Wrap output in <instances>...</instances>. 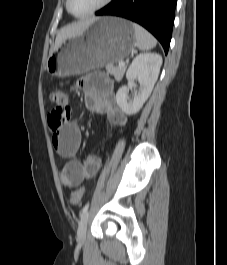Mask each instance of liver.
<instances>
[{"mask_svg": "<svg viewBox=\"0 0 227 265\" xmlns=\"http://www.w3.org/2000/svg\"><path fill=\"white\" fill-rule=\"evenodd\" d=\"M88 25V22H78L60 29L56 36L55 48H57L66 39L80 35L88 27Z\"/></svg>", "mask_w": 227, "mask_h": 265, "instance_id": "6515ba94", "label": "liver"}]
</instances>
